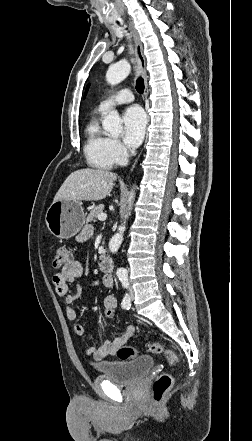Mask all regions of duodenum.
Segmentation results:
<instances>
[{
  "instance_id": "1",
  "label": "duodenum",
  "mask_w": 252,
  "mask_h": 441,
  "mask_svg": "<svg viewBox=\"0 0 252 441\" xmlns=\"http://www.w3.org/2000/svg\"><path fill=\"white\" fill-rule=\"evenodd\" d=\"M99 267L102 271H104L105 273L109 274L113 268V261L112 259L106 255V254H102L99 257Z\"/></svg>"
}]
</instances>
